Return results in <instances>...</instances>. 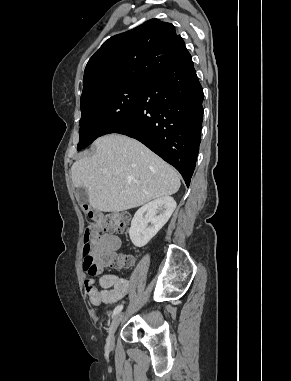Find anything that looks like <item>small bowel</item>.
Wrapping results in <instances>:
<instances>
[{"instance_id": "c3829d8e", "label": "small bowel", "mask_w": 291, "mask_h": 381, "mask_svg": "<svg viewBox=\"0 0 291 381\" xmlns=\"http://www.w3.org/2000/svg\"><path fill=\"white\" fill-rule=\"evenodd\" d=\"M94 240L100 252H115L121 245V239L117 235H102L98 232L94 235ZM84 286L90 302L94 305H102L115 303L124 298L128 292L129 283L125 278L107 273L99 277L98 283L93 278H86Z\"/></svg>"}]
</instances>
